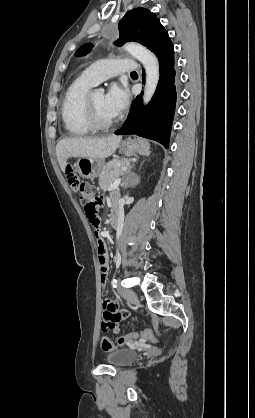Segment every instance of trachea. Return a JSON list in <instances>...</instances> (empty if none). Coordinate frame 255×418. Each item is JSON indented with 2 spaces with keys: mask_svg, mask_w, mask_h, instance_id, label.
<instances>
[{
  "mask_svg": "<svg viewBox=\"0 0 255 418\" xmlns=\"http://www.w3.org/2000/svg\"><path fill=\"white\" fill-rule=\"evenodd\" d=\"M131 74H135L136 75L137 73L136 72H131Z\"/></svg>",
  "mask_w": 255,
  "mask_h": 418,
  "instance_id": "trachea-1",
  "label": "trachea"
}]
</instances>
